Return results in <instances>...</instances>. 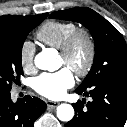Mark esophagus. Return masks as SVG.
Returning a JSON list of instances; mask_svg holds the SVG:
<instances>
[{"mask_svg": "<svg viewBox=\"0 0 127 127\" xmlns=\"http://www.w3.org/2000/svg\"><path fill=\"white\" fill-rule=\"evenodd\" d=\"M46 104H47L48 109H54L59 105L58 102H54V101H50V100H47Z\"/></svg>", "mask_w": 127, "mask_h": 127, "instance_id": "34e87169", "label": "esophagus"}]
</instances>
